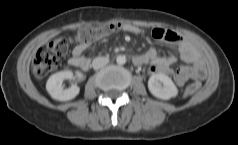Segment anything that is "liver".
Here are the masks:
<instances>
[{
    "mask_svg": "<svg viewBox=\"0 0 238 145\" xmlns=\"http://www.w3.org/2000/svg\"><path fill=\"white\" fill-rule=\"evenodd\" d=\"M33 70H34V73L36 74L37 67H36V66H34V67H33Z\"/></svg>",
    "mask_w": 238,
    "mask_h": 145,
    "instance_id": "1",
    "label": "liver"
}]
</instances>
